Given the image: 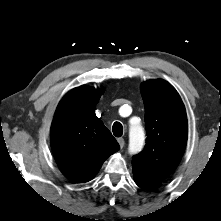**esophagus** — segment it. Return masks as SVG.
Wrapping results in <instances>:
<instances>
[{
    "mask_svg": "<svg viewBox=\"0 0 221 221\" xmlns=\"http://www.w3.org/2000/svg\"><path fill=\"white\" fill-rule=\"evenodd\" d=\"M117 141H118V143L120 145V148L122 149L124 147V145H125V140L123 138H118Z\"/></svg>",
    "mask_w": 221,
    "mask_h": 221,
    "instance_id": "obj_1",
    "label": "esophagus"
}]
</instances>
